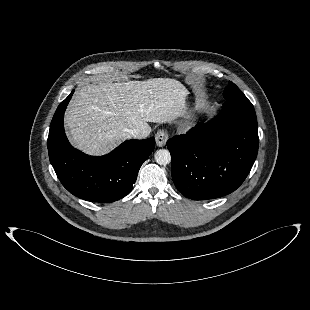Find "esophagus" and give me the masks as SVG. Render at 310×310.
<instances>
[{
  "label": "esophagus",
  "mask_w": 310,
  "mask_h": 310,
  "mask_svg": "<svg viewBox=\"0 0 310 310\" xmlns=\"http://www.w3.org/2000/svg\"><path fill=\"white\" fill-rule=\"evenodd\" d=\"M156 145L158 147L165 146L167 140H168V134L164 130H159L155 135Z\"/></svg>",
  "instance_id": "1"
}]
</instances>
